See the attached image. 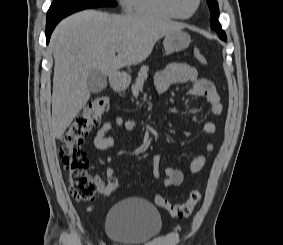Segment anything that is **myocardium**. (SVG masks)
Segmentation results:
<instances>
[{"mask_svg": "<svg viewBox=\"0 0 283 245\" xmlns=\"http://www.w3.org/2000/svg\"><path fill=\"white\" fill-rule=\"evenodd\" d=\"M172 10L182 19H188L192 17L200 7L201 0H193V6L189 9H185L182 4V0H169Z\"/></svg>", "mask_w": 283, "mask_h": 245, "instance_id": "f54148a6", "label": "myocardium"}]
</instances>
